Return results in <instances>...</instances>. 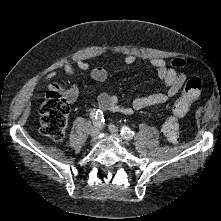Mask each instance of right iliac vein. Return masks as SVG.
Masks as SVG:
<instances>
[{
	"label": "right iliac vein",
	"mask_w": 221,
	"mask_h": 221,
	"mask_svg": "<svg viewBox=\"0 0 221 221\" xmlns=\"http://www.w3.org/2000/svg\"><path fill=\"white\" fill-rule=\"evenodd\" d=\"M90 135L92 136V137H96V136H98V134H99V129L97 128V127H92L91 129H90Z\"/></svg>",
	"instance_id": "63e3f726"
}]
</instances>
